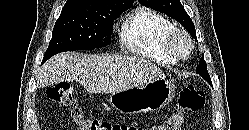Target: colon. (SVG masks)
I'll return each mask as SVG.
<instances>
[{
    "instance_id": "colon-1",
    "label": "colon",
    "mask_w": 249,
    "mask_h": 130,
    "mask_svg": "<svg viewBox=\"0 0 249 130\" xmlns=\"http://www.w3.org/2000/svg\"><path fill=\"white\" fill-rule=\"evenodd\" d=\"M46 95L51 101L71 109L73 121L78 130H181L187 114L199 111L205 102L203 91L194 85H187L180 91L174 111L168 118L159 124L144 127L135 124L111 123L85 116L76 105L72 86L68 83L50 86Z\"/></svg>"
}]
</instances>
